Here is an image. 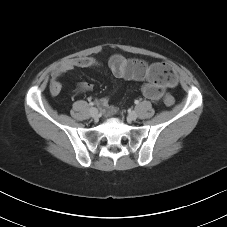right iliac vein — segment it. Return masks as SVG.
I'll list each match as a JSON object with an SVG mask.
<instances>
[{"mask_svg":"<svg viewBox=\"0 0 227 227\" xmlns=\"http://www.w3.org/2000/svg\"><path fill=\"white\" fill-rule=\"evenodd\" d=\"M90 115L92 118H97L98 117V110L96 108H91L90 109Z\"/></svg>","mask_w":227,"mask_h":227,"instance_id":"1","label":"right iliac vein"}]
</instances>
